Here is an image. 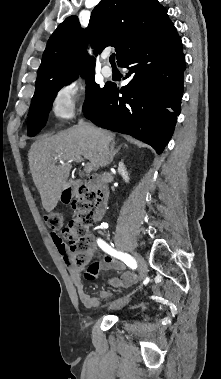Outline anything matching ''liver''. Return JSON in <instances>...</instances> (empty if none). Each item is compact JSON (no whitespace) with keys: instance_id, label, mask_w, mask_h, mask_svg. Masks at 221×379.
Segmentation results:
<instances>
[{"instance_id":"6515ba94","label":"liver","mask_w":221,"mask_h":379,"mask_svg":"<svg viewBox=\"0 0 221 379\" xmlns=\"http://www.w3.org/2000/svg\"><path fill=\"white\" fill-rule=\"evenodd\" d=\"M100 131L107 144L114 143L113 133ZM100 148L101 139L79 126L42 138L31 145L28 155L30 171L47 212L56 207L62 191L71 184L68 178L72 165H57L56 158L64 160L79 157L81 160H88L96 171L100 166Z\"/></svg>"}]
</instances>
